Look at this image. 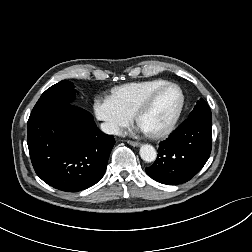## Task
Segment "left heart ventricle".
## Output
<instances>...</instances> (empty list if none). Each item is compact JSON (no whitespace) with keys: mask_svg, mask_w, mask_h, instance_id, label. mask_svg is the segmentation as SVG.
<instances>
[{"mask_svg":"<svg viewBox=\"0 0 252 252\" xmlns=\"http://www.w3.org/2000/svg\"><path fill=\"white\" fill-rule=\"evenodd\" d=\"M181 102V94L176 87H168L155 98L151 107L140 119L147 132L158 131L166 127L174 117Z\"/></svg>","mask_w":252,"mask_h":252,"instance_id":"1","label":"left heart ventricle"}]
</instances>
